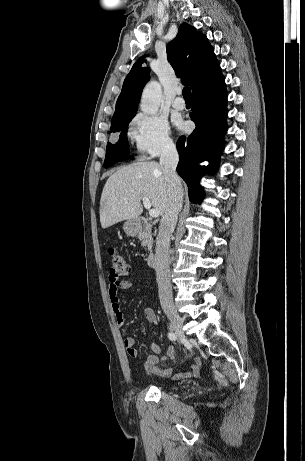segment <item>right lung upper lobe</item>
Segmentation results:
<instances>
[{"instance_id": "right-lung-upper-lobe-1", "label": "right lung upper lobe", "mask_w": 305, "mask_h": 461, "mask_svg": "<svg viewBox=\"0 0 305 461\" xmlns=\"http://www.w3.org/2000/svg\"><path fill=\"white\" fill-rule=\"evenodd\" d=\"M168 61L182 83L190 85L192 92L221 73L220 65L208 39L187 23L181 24L177 36L167 45ZM145 56L135 62L124 80L116 102L111 128L118 122L134 117L141 92L149 80L150 69Z\"/></svg>"}]
</instances>
